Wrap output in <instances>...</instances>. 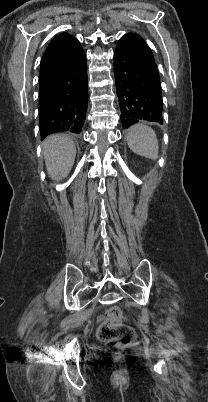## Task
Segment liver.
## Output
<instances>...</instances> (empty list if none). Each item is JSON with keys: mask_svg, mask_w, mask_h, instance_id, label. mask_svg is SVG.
Here are the masks:
<instances>
[{"mask_svg": "<svg viewBox=\"0 0 208 402\" xmlns=\"http://www.w3.org/2000/svg\"><path fill=\"white\" fill-rule=\"evenodd\" d=\"M44 160L47 172L52 180H62L68 176L76 156L74 142L58 134V136H49L43 144Z\"/></svg>", "mask_w": 208, "mask_h": 402, "instance_id": "1", "label": "liver"}]
</instances>
